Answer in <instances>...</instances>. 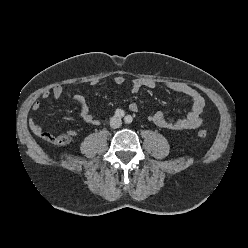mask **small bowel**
Returning a JSON list of instances; mask_svg holds the SVG:
<instances>
[{
    "instance_id": "small-bowel-1",
    "label": "small bowel",
    "mask_w": 248,
    "mask_h": 248,
    "mask_svg": "<svg viewBox=\"0 0 248 248\" xmlns=\"http://www.w3.org/2000/svg\"><path fill=\"white\" fill-rule=\"evenodd\" d=\"M114 82L117 85H122L126 82V78L122 75H119L114 79ZM96 84V81L91 82V85ZM162 85L171 91L188 96L192 101V108L189 113L181 119L170 120L165 117L163 112L157 111L149 116V121L156 126L169 131L191 130L200 127L203 123L202 113L205 106L203 95L196 88L184 82L165 81L162 83ZM158 86L159 83L153 79L135 78L131 81L130 90L133 94H137L143 88L154 89ZM64 90L65 86L62 84H58L51 90L43 92L41 97L43 99H48L50 97L58 99L62 96ZM74 100L79 105L78 116L82 121L92 125H99L101 123V120L90 112L85 98L82 95H76L74 97ZM40 106V102L35 101L32 104V110L38 111L40 109ZM129 109L132 112H137L139 110V105L136 102H131L129 104ZM29 127L35 135L43 139H46L47 135H49V133L45 132L33 118L29 119ZM67 135L68 137L72 138L77 135V132L74 129H70L67 132Z\"/></svg>"
}]
</instances>
